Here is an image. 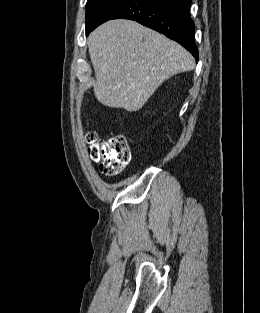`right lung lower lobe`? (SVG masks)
Instances as JSON below:
<instances>
[{"mask_svg": "<svg viewBox=\"0 0 260 313\" xmlns=\"http://www.w3.org/2000/svg\"><path fill=\"white\" fill-rule=\"evenodd\" d=\"M190 5L191 0H117L93 29L110 19L135 20L177 41L197 62L199 53L195 44V27L190 17Z\"/></svg>", "mask_w": 260, "mask_h": 313, "instance_id": "1", "label": "right lung lower lobe"}]
</instances>
